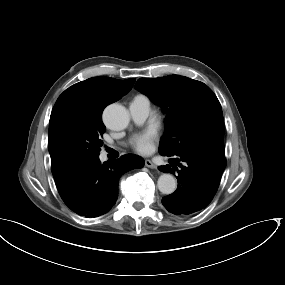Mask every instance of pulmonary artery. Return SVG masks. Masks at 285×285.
I'll return each mask as SVG.
<instances>
[{"mask_svg": "<svg viewBox=\"0 0 285 285\" xmlns=\"http://www.w3.org/2000/svg\"><path fill=\"white\" fill-rule=\"evenodd\" d=\"M128 108L132 120L142 123L150 113V100L145 95H138L130 101Z\"/></svg>", "mask_w": 285, "mask_h": 285, "instance_id": "obj_1", "label": "pulmonary artery"}]
</instances>
